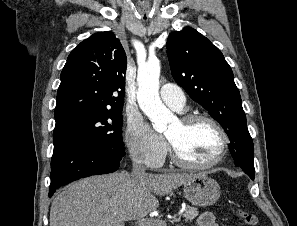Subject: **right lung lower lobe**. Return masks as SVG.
I'll list each match as a JSON object with an SVG mask.
<instances>
[{
    "label": "right lung lower lobe",
    "instance_id": "1",
    "mask_svg": "<svg viewBox=\"0 0 297 226\" xmlns=\"http://www.w3.org/2000/svg\"><path fill=\"white\" fill-rule=\"evenodd\" d=\"M53 141L49 197L57 188L82 177L116 171L125 155L124 149L85 138L65 136Z\"/></svg>",
    "mask_w": 297,
    "mask_h": 226
}]
</instances>
